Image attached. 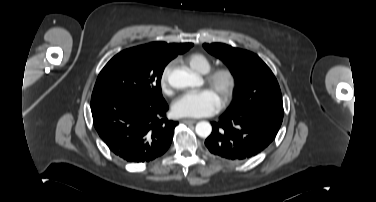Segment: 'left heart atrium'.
Listing matches in <instances>:
<instances>
[{
    "instance_id": "39dd6f15",
    "label": "left heart atrium",
    "mask_w": 376,
    "mask_h": 202,
    "mask_svg": "<svg viewBox=\"0 0 376 202\" xmlns=\"http://www.w3.org/2000/svg\"><path fill=\"white\" fill-rule=\"evenodd\" d=\"M220 99L210 89L189 91L178 97L172 104V112L177 117H204L216 113Z\"/></svg>"
}]
</instances>
